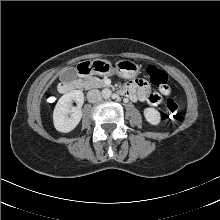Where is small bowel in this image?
Instances as JSON below:
<instances>
[{
  "instance_id": "obj_1",
  "label": "small bowel",
  "mask_w": 220,
  "mask_h": 220,
  "mask_svg": "<svg viewBox=\"0 0 220 220\" xmlns=\"http://www.w3.org/2000/svg\"><path fill=\"white\" fill-rule=\"evenodd\" d=\"M126 97L132 101H146L151 105H158L162 102V96L170 94V88L167 84L159 87V93L152 92L148 83L142 79H136L127 83L123 88Z\"/></svg>"
}]
</instances>
